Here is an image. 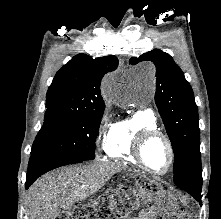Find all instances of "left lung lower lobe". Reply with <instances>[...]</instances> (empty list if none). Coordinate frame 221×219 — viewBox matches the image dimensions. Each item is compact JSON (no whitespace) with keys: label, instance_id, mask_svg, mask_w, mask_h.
Returning <instances> with one entry per match:
<instances>
[{"label":"left lung lower lobe","instance_id":"0a47b994","mask_svg":"<svg viewBox=\"0 0 221 219\" xmlns=\"http://www.w3.org/2000/svg\"><path fill=\"white\" fill-rule=\"evenodd\" d=\"M182 189L191 194L201 204V188L185 187Z\"/></svg>","mask_w":221,"mask_h":219}]
</instances>
